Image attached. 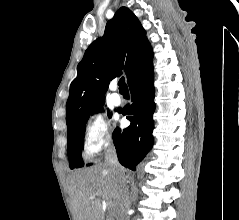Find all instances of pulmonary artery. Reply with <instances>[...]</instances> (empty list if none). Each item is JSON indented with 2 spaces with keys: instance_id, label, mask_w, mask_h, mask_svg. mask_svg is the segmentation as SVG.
Wrapping results in <instances>:
<instances>
[{
  "instance_id": "pulmonary-artery-1",
  "label": "pulmonary artery",
  "mask_w": 239,
  "mask_h": 220,
  "mask_svg": "<svg viewBox=\"0 0 239 220\" xmlns=\"http://www.w3.org/2000/svg\"><path fill=\"white\" fill-rule=\"evenodd\" d=\"M110 89L112 91H115L116 90V85L112 84ZM109 99H110V102L113 103L114 105H119L121 103V96L118 93H116V92H113L110 95Z\"/></svg>"
}]
</instances>
